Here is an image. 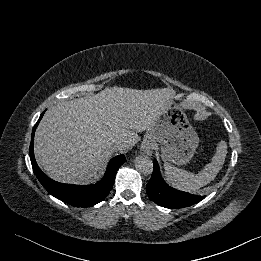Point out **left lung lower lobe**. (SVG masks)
Returning <instances> with one entry per match:
<instances>
[{
	"label": "left lung lower lobe",
	"instance_id": "obj_1",
	"mask_svg": "<svg viewBox=\"0 0 261 261\" xmlns=\"http://www.w3.org/2000/svg\"><path fill=\"white\" fill-rule=\"evenodd\" d=\"M153 165V174L146 187L147 194L152 201L166 208L179 209L204 199V196L189 194L170 187L162 179L156 160L153 161Z\"/></svg>",
	"mask_w": 261,
	"mask_h": 261
}]
</instances>
